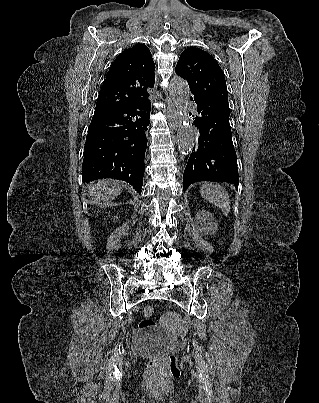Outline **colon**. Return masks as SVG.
<instances>
[{"instance_id": "5ec220e1", "label": "colon", "mask_w": 319, "mask_h": 403, "mask_svg": "<svg viewBox=\"0 0 319 403\" xmlns=\"http://www.w3.org/2000/svg\"><path fill=\"white\" fill-rule=\"evenodd\" d=\"M154 311L155 310L152 306H147L144 309L143 317L139 323L140 329H147L154 326ZM149 369L152 371H161L168 369L171 373H174L175 371H177L175 353L170 351L165 357L151 360L149 362Z\"/></svg>"}]
</instances>
